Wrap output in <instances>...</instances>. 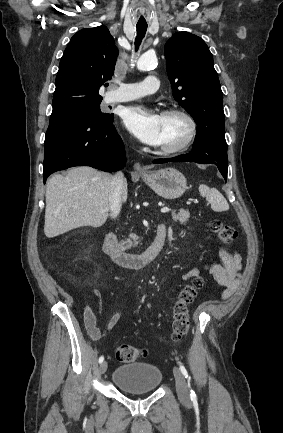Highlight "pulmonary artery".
<instances>
[{
	"label": "pulmonary artery",
	"instance_id": "e3ab8cb5",
	"mask_svg": "<svg viewBox=\"0 0 283 433\" xmlns=\"http://www.w3.org/2000/svg\"><path fill=\"white\" fill-rule=\"evenodd\" d=\"M156 78L157 75L151 72L148 77L141 82L124 83L122 88L117 90V94L107 96V103L113 104L130 101L156 92L158 88L157 85H159V80H155Z\"/></svg>",
	"mask_w": 283,
	"mask_h": 433
}]
</instances>
